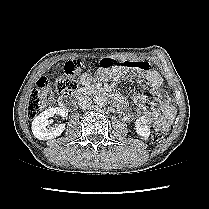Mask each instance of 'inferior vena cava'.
Returning <instances> with one entry per match:
<instances>
[{
	"label": "inferior vena cava",
	"instance_id": "602c4592",
	"mask_svg": "<svg viewBox=\"0 0 209 209\" xmlns=\"http://www.w3.org/2000/svg\"><path fill=\"white\" fill-rule=\"evenodd\" d=\"M78 104L81 109L87 110L92 107V100L88 96H82L79 98Z\"/></svg>",
	"mask_w": 209,
	"mask_h": 209
}]
</instances>
